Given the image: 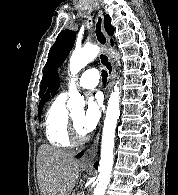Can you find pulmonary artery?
Masks as SVG:
<instances>
[{
  "mask_svg": "<svg viewBox=\"0 0 178 195\" xmlns=\"http://www.w3.org/2000/svg\"><path fill=\"white\" fill-rule=\"evenodd\" d=\"M99 72L95 68L88 69L82 73L77 85L81 89H92L98 85ZM63 94L66 95V92Z\"/></svg>",
  "mask_w": 178,
  "mask_h": 195,
  "instance_id": "pulmonary-artery-1",
  "label": "pulmonary artery"
}]
</instances>
